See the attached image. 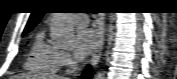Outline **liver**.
Listing matches in <instances>:
<instances>
[{
  "label": "liver",
  "mask_w": 177,
  "mask_h": 79,
  "mask_svg": "<svg viewBox=\"0 0 177 79\" xmlns=\"http://www.w3.org/2000/svg\"><path fill=\"white\" fill-rule=\"evenodd\" d=\"M15 79H65V78L56 75H45V76L19 75L15 76Z\"/></svg>",
  "instance_id": "6515ba94"
}]
</instances>
